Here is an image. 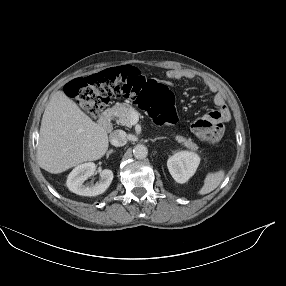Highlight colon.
I'll return each mask as SVG.
<instances>
[{"label":"colon","mask_w":286,"mask_h":286,"mask_svg":"<svg viewBox=\"0 0 286 286\" xmlns=\"http://www.w3.org/2000/svg\"><path fill=\"white\" fill-rule=\"evenodd\" d=\"M67 93L90 115H96L113 97H137L157 123H173L177 119L174 96L168 86L146 78L131 66L111 68L73 80L67 86ZM192 131L198 136L213 135L217 142L223 134L224 122L218 113L209 111L193 123Z\"/></svg>","instance_id":"colon-1"}]
</instances>
